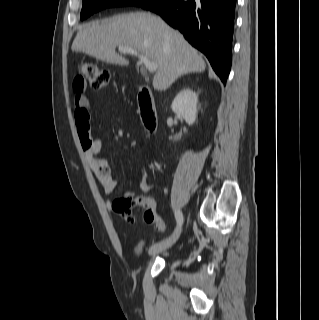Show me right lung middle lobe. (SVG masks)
<instances>
[{"label":"right lung middle lobe","mask_w":319,"mask_h":320,"mask_svg":"<svg viewBox=\"0 0 319 320\" xmlns=\"http://www.w3.org/2000/svg\"><path fill=\"white\" fill-rule=\"evenodd\" d=\"M152 0H83L81 19H86L91 14L102 9L118 6H141Z\"/></svg>","instance_id":"right-lung-middle-lobe-1"}]
</instances>
